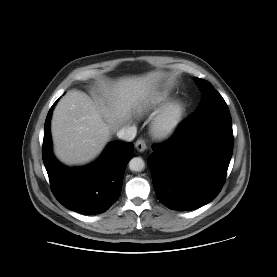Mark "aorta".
Returning a JSON list of instances; mask_svg holds the SVG:
<instances>
[{"instance_id": "obj_1", "label": "aorta", "mask_w": 277, "mask_h": 277, "mask_svg": "<svg viewBox=\"0 0 277 277\" xmlns=\"http://www.w3.org/2000/svg\"><path fill=\"white\" fill-rule=\"evenodd\" d=\"M145 168L144 160L141 157H134L129 162V169L134 172L142 171Z\"/></svg>"}]
</instances>
